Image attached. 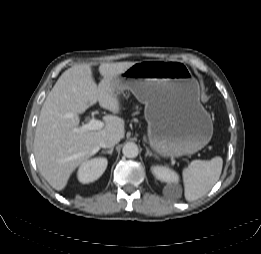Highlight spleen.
I'll return each instance as SVG.
<instances>
[{"instance_id":"1","label":"spleen","mask_w":261,"mask_h":254,"mask_svg":"<svg viewBox=\"0 0 261 254\" xmlns=\"http://www.w3.org/2000/svg\"><path fill=\"white\" fill-rule=\"evenodd\" d=\"M222 167L219 156L209 161L193 160L182 172L185 199L192 202L206 195L219 180Z\"/></svg>"}]
</instances>
